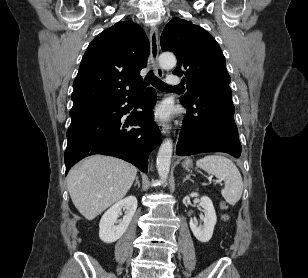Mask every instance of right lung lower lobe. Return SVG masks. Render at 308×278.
<instances>
[{
    "label": "right lung lower lobe",
    "instance_id": "obj_1",
    "mask_svg": "<svg viewBox=\"0 0 308 278\" xmlns=\"http://www.w3.org/2000/svg\"><path fill=\"white\" fill-rule=\"evenodd\" d=\"M155 91L146 92L133 118L123 119L136 99H126L96 106L71 116L67 131V148L64 154L66 175L69 169L85 156L104 154L124 159L141 171L147 172L149 153L161 143V134L153 122L152 108L155 105ZM128 105H124L125 103ZM140 125L138 129L128 126Z\"/></svg>",
    "mask_w": 308,
    "mask_h": 278
}]
</instances>
